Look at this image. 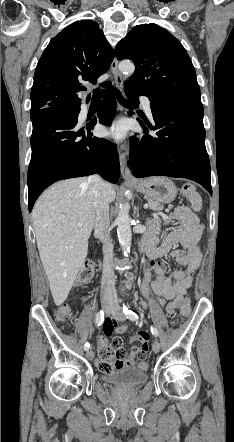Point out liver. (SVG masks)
<instances>
[{
  "instance_id": "liver-1",
  "label": "liver",
  "mask_w": 234,
  "mask_h": 442,
  "mask_svg": "<svg viewBox=\"0 0 234 442\" xmlns=\"http://www.w3.org/2000/svg\"><path fill=\"white\" fill-rule=\"evenodd\" d=\"M108 202L115 188L105 183ZM95 220L91 186L86 178L60 181L35 203L32 221L39 255L57 306L68 297L88 252ZM80 222L81 226H76Z\"/></svg>"
}]
</instances>
